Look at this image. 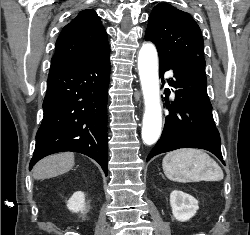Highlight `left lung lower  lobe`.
I'll return each instance as SVG.
<instances>
[{"instance_id":"1","label":"left lung lower lobe","mask_w":250,"mask_h":235,"mask_svg":"<svg viewBox=\"0 0 250 235\" xmlns=\"http://www.w3.org/2000/svg\"><path fill=\"white\" fill-rule=\"evenodd\" d=\"M162 81L164 72L173 70L167 79L175 90V99L168 107L161 138L147 157L179 148H199L213 153L225 165L221 154V140L212 117V105L207 95L205 61L199 56L181 59L159 57ZM163 83H165L163 81ZM170 89H165L169 105Z\"/></svg>"}]
</instances>
